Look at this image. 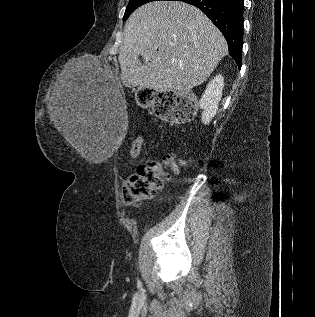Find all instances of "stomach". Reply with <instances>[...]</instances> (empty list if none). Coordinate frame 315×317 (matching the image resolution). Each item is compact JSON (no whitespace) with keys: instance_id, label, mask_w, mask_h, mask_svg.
Masks as SVG:
<instances>
[{"instance_id":"1","label":"stomach","mask_w":315,"mask_h":317,"mask_svg":"<svg viewBox=\"0 0 315 317\" xmlns=\"http://www.w3.org/2000/svg\"><path fill=\"white\" fill-rule=\"evenodd\" d=\"M138 95H155V88H138ZM140 104H151V97H140Z\"/></svg>"}]
</instances>
